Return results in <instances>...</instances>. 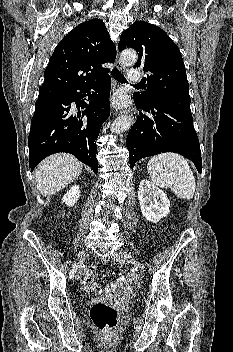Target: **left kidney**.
<instances>
[{
  "instance_id": "1",
  "label": "left kidney",
  "mask_w": 233,
  "mask_h": 352,
  "mask_svg": "<svg viewBox=\"0 0 233 352\" xmlns=\"http://www.w3.org/2000/svg\"><path fill=\"white\" fill-rule=\"evenodd\" d=\"M138 200L143 217L153 223L170 212V202L166 194L147 179H143L139 184Z\"/></svg>"
}]
</instances>
